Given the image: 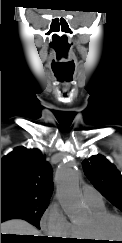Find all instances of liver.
Returning <instances> with one entry per match:
<instances>
[{
  "label": "liver",
  "instance_id": "1",
  "mask_svg": "<svg viewBox=\"0 0 122 243\" xmlns=\"http://www.w3.org/2000/svg\"><path fill=\"white\" fill-rule=\"evenodd\" d=\"M1 234L42 236L39 230L21 219H12L1 223Z\"/></svg>",
  "mask_w": 122,
  "mask_h": 243
}]
</instances>
